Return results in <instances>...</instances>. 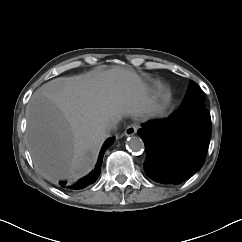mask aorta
<instances>
[{
    "label": "aorta",
    "mask_w": 242,
    "mask_h": 242,
    "mask_svg": "<svg viewBox=\"0 0 242 242\" xmlns=\"http://www.w3.org/2000/svg\"><path fill=\"white\" fill-rule=\"evenodd\" d=\"M127 148L132 152L139 153L143 150L144 143L140 137L131 136L128 138Z\"/></svg>",
    "instance_id": "aorta-1"
}]
</instances>
